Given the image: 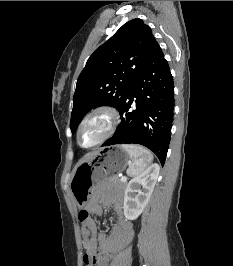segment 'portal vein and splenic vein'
<instances>
[{"mask_svg": "<svg viewBox=\"0 0 233 266\" xmlns=\"http://www.w3.org/2000/svg\"><path fill=\"white\" fill-rule=\"evenodd\" d=\"M120 180H121L122 182H125V181H127V177H126V176H122V177L120 178Z\"/></svg>", "mask_w": 233, "mask_h": 266, "instance_id": "portal-vein-and-splenic-vein-1", "label": "portal vein and splenic vein"}]
</instances>
